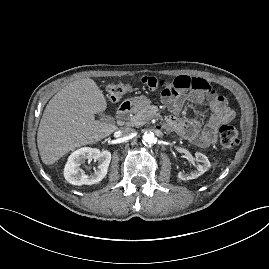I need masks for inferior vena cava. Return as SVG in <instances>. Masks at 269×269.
<instances>
[{"label": "inferior vena cava", "mask_w": 269, "mask_h": 269, "mask_svg": "<svg viewBox=\"0 0 269 269\" xmlns=\"http://www.w3.org/2000/svg\"><path fill=\"white\" fill-rule=\"evenodd\" d=\"M134 133V129L131 127H123L120 130L121 136H130Z\"/></svg>", "instance_id": "obj_1"}]
</instances>
